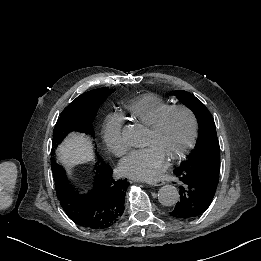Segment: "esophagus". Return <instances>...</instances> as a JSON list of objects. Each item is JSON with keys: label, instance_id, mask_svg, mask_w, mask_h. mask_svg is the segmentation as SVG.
<instances>
[{"label": "esophagus", "instance_id": "obj_1", "mask_svg": "<svg viewBox=\"0 0 261 261\" xmlns=\"http://www.w3.org/2000/svg\"><path fill=\"white\" fill-rule=\"evenodd\" d=\"M145 182L149 185H153V186H161L164 184L163 180H155V179H148L145 180Z\"/></svg>", "mask_w": 261, "mask_h": 261}]
</instances>
